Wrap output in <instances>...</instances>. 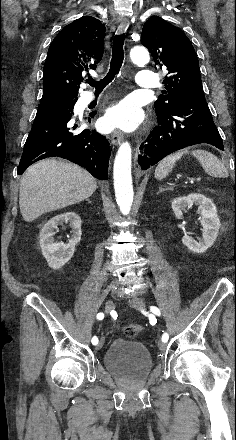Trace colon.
<instances>
[{"mask_svg": "<svg viewBox=\"0 0 236 440\" xmlns=\"http://www.w3.org/2000/svg\"><path fill=\"white\" fill-rule=\"evenodd\" d=\"M124 334L128 337H134L142 331V326L139 324H128L123 329Z\"/></svg>", "mask_w": 236, "mask_h": 440, "instance_id": "5ec220e1", "label": "colon"}]
</instances>
